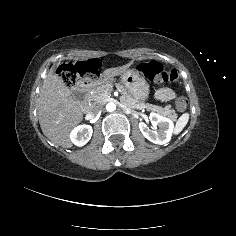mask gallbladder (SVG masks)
Masks as SVG:
<instances>
[{
  "mask_svg": "<svg viewBox=\"0 0 236 236\" xmlns=\"http://www.w3.org/2000/svg\"><path fill=\"white\" fill-rule=\"evenodd\" d=\"M57 68V65L54 66V70Z\"/></svg>",
  "mask_w": 236,
  "mask_h": 236,
  "instance_id": "obj_1",
  "label": "gallbladder"
}]
</instances>
